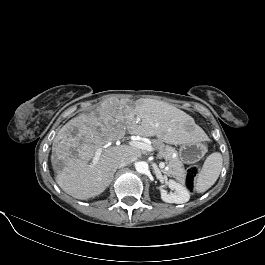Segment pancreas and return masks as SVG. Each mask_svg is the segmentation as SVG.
I'll return each mask as SVG.
<instances>
[{"label": "pancreas", "mask_w": 265, "mask_h": 265, "mask_svg": "<svg viewBox=\"0 0 265 265\" xmlns=\"http://www.w3.org/2000/svg\"><path fill=\"white\" fill-rule=\"evenodd\" d=\"M155 149L158 151L159 156L165 159L166 168L161 169V171L168 175L176 178L177 180L183 182L185 179V169L183 163L180 161L178 156H174L177 154L176 150L171 147L164 145L161 141L155 140L153 142Z\"/></svg>", "instance_id": "obj_1"}]
</instances>
